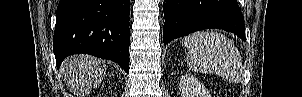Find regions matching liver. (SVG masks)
Masks as SVG:
<instances>
[{
  "instance_id": "obj_1",
  "label": "liver",
  "mask_w": 302,
  "mask_h": 97,
  "mask_svg": "<svg viewBox=\"0 0 302 97\" xmlns=\"http://www.w3.org/2000/svg\"><path fill=\"white\" fill-rule=\"evenodd\" d=\"M106 70L104 60L90 55L67 57L61 66L67 86L77 97H84L97 87L102 82Z\"/></svg>"
}]
</instances>
